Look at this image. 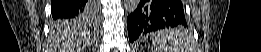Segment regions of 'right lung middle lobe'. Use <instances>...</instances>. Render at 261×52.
<instances>
[{
    "mask_svg": "<svg viewBox=\"0 0 261 52\" xmlns=\"http://www.w3.org/2000/svg\"><path fill=\"white\" fill-rule=\"evenodd\" d=\"M95 6H98V2H94ZM56 20L54 22V24H57L58 26H64V25H71L72 23H77V22H87V23H91L94 22V18L91 17H87L85 14H81L77 17H75L74 19H54Z\"/></svg>",
    "mask_w": 261,
    "mask_h": 52,
    "instance_id": "1",
    "label": "right lung middle lobe"
}]
</instances>
